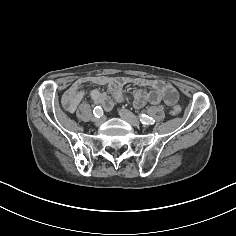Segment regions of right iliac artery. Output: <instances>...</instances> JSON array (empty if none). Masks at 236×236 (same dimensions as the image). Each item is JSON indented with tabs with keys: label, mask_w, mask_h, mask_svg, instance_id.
Returning a JSON list of instances; mask_svg holds the SVG:
<instances>
[{
	"label": "right iliac artery",
	"mask_w": 236,
	"mask_h": 236,
	"mask_svg": "<svg viewBox=\"0 0 236 236\" xmlns=\"http://www.w3.org/2000/svg\"><path fill=\"white\" fill-rule=\"evenodd\" d=\"M93 113L97 118H100L103 115V109L100 106H96Z\"/></svg>",
	"instance_id": "1"
}]
</instances>
